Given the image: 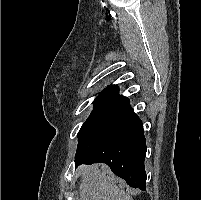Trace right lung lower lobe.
<instances>
[{"label": "right lung lower lobe", "instance_id": "obj_1", "mask_svg": "<svg viewBox=\"0 0 201 200\" xmlns=\"http://www.w3.org/2000/svg\"><path fill=\"white\" fill-rule=\"evenodd\" d=\"M146 150L142 121L128 104L78 136L75 166L105 163L129 186L146 190Z\"/></svg>", "mask_w": 201, "mask_h": 200}]
</instances>
